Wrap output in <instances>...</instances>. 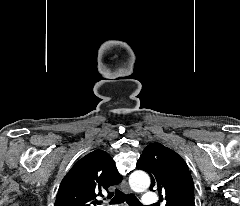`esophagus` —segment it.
<instances>
[{
  "instance_id": "1",
  "label": "esophagus",
  "mask_w": 240,
  "mask_h": 206,
  "mask_svg": "<svg viewBox=\"0 0 240 206\" xmlns=\"http://www.w3.org/2000/svg\"><path fill=\"white\" fill-rule=\"evenodd\" d=\"M121 188L126 194H128V195L132 194V190L130 189V187L128 186V184L125 180L122 181Z\"/></svg>"
}]
</instances>
